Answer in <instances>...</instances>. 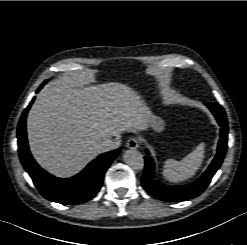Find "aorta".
I'll return each mask as SVG.
<instances>
[{
    "label": "aorta",
    "instance_id": "aorta-1",
    "mask_svg": "<svg viewBox=\"0 0 247 245\" xmlns=\"http://www.w3.org/2000/svg\"><path fill=\"white\" fill-rule=\"evenodd\" d=\"M123 161L134 169H139L142 166V157L134 148L128 149L123 153Z\"/></svg>",
    "mask_w": 247,
    "mask_h": 245
}]
</instances>
